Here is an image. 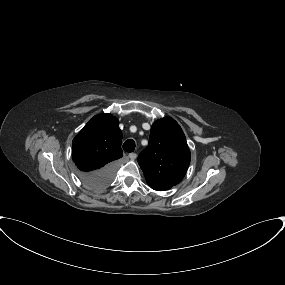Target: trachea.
<instances>
[{
  "label": "trachea",
  "instance_id": "3493384b",
  "mask_svg": "<svg viewBox=\"0 0 285 285\" xmlns=\"http://www.w3.org/2000/svg\"><path fill=\"white\" fill-rule=\"evenodd\" d=\"M122 147L126 152H133L135 149V141L133 139H128Z\"/></svg>",
  "mask_w": 285,
  "mask_h": 285
}]
</instances>
